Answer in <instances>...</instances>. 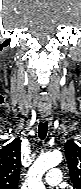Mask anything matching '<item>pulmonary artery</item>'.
<instances>
[{
  "mask_svg": "<svg viewBox=\"0 0 81 189\" xmlns=\"http://www.w3.org/2000/svg\"><path fill=\"white\" fill-rule=\"evenodd\" d=\"M44 180L51 186L59 185L62 180V173L58 168H53L46 173Z\"/></svg>",
  "mask_w": 81,
  "mask_h": 189,
  "instance_id": "obj_1",
  "label": "pulmonary artery"
}]
</instances>
